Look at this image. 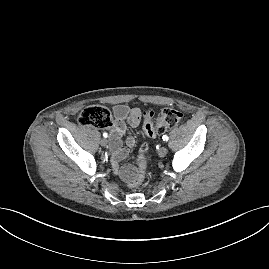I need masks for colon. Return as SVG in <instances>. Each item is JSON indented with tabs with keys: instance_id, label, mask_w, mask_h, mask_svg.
Wrapping results in <instances>:
<instances>
[{
	"instance_id": "colon-1",
	"label": "colon",
	"mask_w": 269,
	"mask_h": 269,
	"mask_svg": "<svg viewBox=\"0 0 269 269\" xmlns=\"http://www.w3.org/2000/svg\"><path fill=\"white\" fill-rule=\"evenodd\" d=\"M183 114L171 107H167L161 110L157 117L153 118L152 112H145V121L143 125L144 133L148 137H155L168 129L177 126L182 120ZM78 122L83 126H93L97 128L109 127L112 123V116L108 108L102 105H90L85 107L79 114ZM146 150V146L143 145L140 148V156L137 163L139 170L135 171L130 178L129 184L131 187H139L144 179L143 164L144 157L142 153Z\"/></svg>"
}]
</instances>
